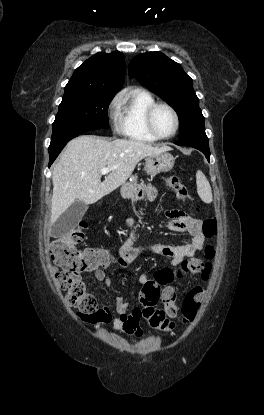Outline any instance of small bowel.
Segmentation results:
<instances>
[{
    "label": "small bowel",
    "instance_id": "obj_1",
    "mask_svg": "<svg viewBox=\"0 0 264 415\" xmlns=\"http://www.w3.org/2000/svg\"><path fill=\"white\" fill-rule=\"evenodd\" d=\"M150 199H155L156 195L153 191L148 194ZM165 215L169 218L168 228L174 232H180L190 237L189 242L179 245H163L160 243H145L137 245L133 241V234L135 223L130 220L129 227L131 230L129 239L124 242L119 250L116 265L121 268L129 267L142 253L151 251L158 253L170 260L171 266H176L185 259L193 258L195 254L202 250L204 244V234L202 230V222L198 219L184 216L175 209H167ZM95 272L98 280L105 279V273L102 268H91ZM148 274H142L139 277L140 284H145L151 280ZM107 286L111 282L107 280ZM170 288V287H169ZM116 316L112 317L106 308L98 311L96 319L102 323L111 322V329L113 331L122 332L127 335L139 336L143 333L140 324L141 308H134L131 312L128 311V305L121 298H116L115 303Z\"/></svg>",
    "mask_w": 264,
    "mask_h": 415
}]
</instances>
